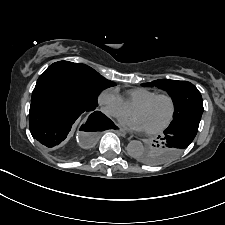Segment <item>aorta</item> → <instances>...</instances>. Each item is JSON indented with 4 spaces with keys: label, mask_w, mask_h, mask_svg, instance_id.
Returning a JSON list of instances; mask_svg holds the SVG:
<instances>
[{
    "label": "aorta",
    "mask_w": 225,
    "mask_h": 225,
    "mask_svg": "<svg viewBox=\"0 0 225 225\" xmlns=\"http://www.w3.org/2000/svg\"><path fill=\"white\" fill-rule=\"evenodd\" d=\"M143 151H144V145L141 141L132 140L127 145V153L131 157H137Z\"/></svg>",
    "instance_id": "1"
}]
</instances>
